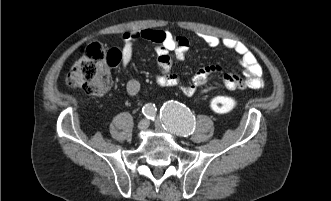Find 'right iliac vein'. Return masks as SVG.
<instances>
[{
    "label": "right iliac vein",
    "mask_w": 331,
    "mask_h": 201,
    "mask_svg": "<svg viewBox=\"0 0 331 201\" xmlns=\"http://www.w3.org/2000/svg\"><path fill=\"white\" fill-rule=\"evenodd\" d=\"M148 126H149V120H147V119H143V120H141V121L139 122V124H138V128H139L140 130H145V129L148 128Z\"/></svg>",
    "instance_id": "right-iliac-vein-1"
}]
</instances>
